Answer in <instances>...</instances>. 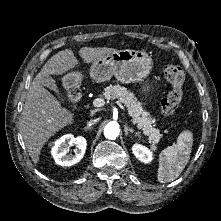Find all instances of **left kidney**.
<instances>
[{"label":"left kidney","instance_id":"obj_1","mask_svg":"<svg viewBox=\"0 0 221 221\" xmlns=\"http://www.w3.org/2000/svg\"><path fill=\"white\" fill-rule=\"evenodd\" d=\"M132 151L136 158H138L141 162L150 163L153 159V154L151 150L140 144H135L132 147Z\"/></svg>","mask_w":221,"mask_h":221}]
</instances>
